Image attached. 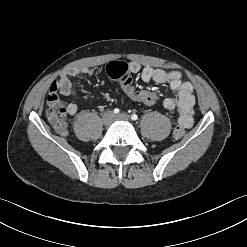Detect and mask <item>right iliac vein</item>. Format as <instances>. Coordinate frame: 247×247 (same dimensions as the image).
I'll list each match as a JSON object with an SVG mask.
<instances>
[{
	"label": "right iliac vein",
	"instance_id": "1",
	"mask_svg": "<svg viewBox=\"0 0 247 247\" xmlns=\"http://www.w3.org/2000/svg\"><path fill=\"white\" fill-rule=\"evenodd\" d=\"M102 119H103L104 125L106 126L110 125L114 119L113 112L112 111L105 112Z\"/></svg>",
	"mask_w": 247,
	"mask_h": 247
}]
</instances>
